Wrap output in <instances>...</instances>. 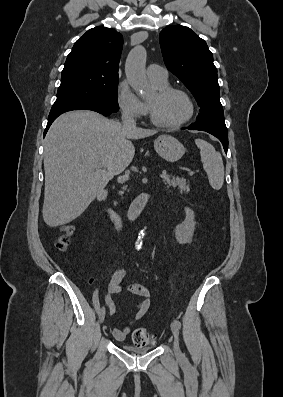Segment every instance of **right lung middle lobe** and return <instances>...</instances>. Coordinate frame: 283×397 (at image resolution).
Instances as JSON below:
<instances>
[{"label":"right lung middle lobe","mask_w":283,"mask_h":397,"mask_svg":"<svg viewBox=\"0 0 283 397\" xmlns=\"http://www.w3.org/2000/svg\"><path fill=\"white\" fill-rule=\"evenodd\" d=\"M117 88L118 78H104L73 72L62 73L54 104H91L114 113L119 110Z\"/></svg>","instance_id":"dd1d6c3e"}]
</instances>
